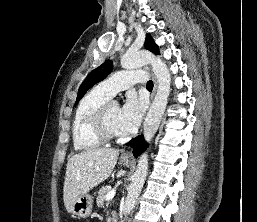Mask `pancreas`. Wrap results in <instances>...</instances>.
<instances>
[{"label": "pancreas", "instance_id": "1", "mask_svg": "<svg viewBox=\"0 0 257 222\" xmlns=\"http://www.w3.org/2000/svg\"><path fill=\"white\" fill-rule=\"evenodd\" d=\"M111 191V188L109 186L102 187L97 196V206H103L105 203L106 195Z\"/></svg>", "mask_w": 257, "mask_h": 222}]
</instances>
